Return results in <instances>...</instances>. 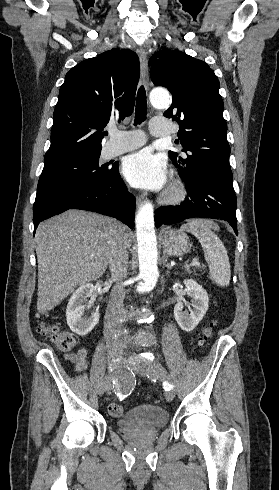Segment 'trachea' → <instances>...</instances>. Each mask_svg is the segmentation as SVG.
I'll use <instances>...</instances> for the list:
<instances>
[{"label":"trachea","mask_w":279,"mask_h":490,"mask_svg":"<svg viewBox=\"0 0 279 490\" xmlns=\"http://www.w3.org/2000/svg\"><path fill=\"white\" fill-rule=\"evenodd\" d=\"M146 115H147L146 92L144 87L141 86L137 93L134 125H138L144 122L146 120Z\"/></svg>","instance_id":"trachea-1"}]
</instances>
